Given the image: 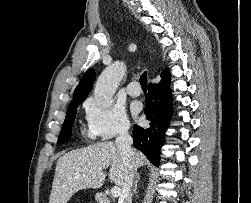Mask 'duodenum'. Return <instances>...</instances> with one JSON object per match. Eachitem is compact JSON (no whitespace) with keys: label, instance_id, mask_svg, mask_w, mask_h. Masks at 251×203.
<instances>
[{"label":"duodenum","instance_id":"410a0bca","mask_svg":"<svg viewBox=\"0 0 251 203\" xmlns=\"http://www.w3.org/2000/svg\"><path fill=\"white\" fill-rule=\"evenodd\" d=\"M96 199L99 203H110L109 198L103 193H98Z\"/></svg>","mask_w":251,"mask_h":203}]
</instances>
